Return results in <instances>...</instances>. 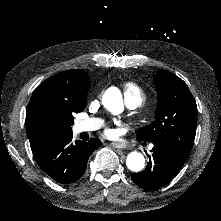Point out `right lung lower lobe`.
I'll return each mask as SVG.
<instances>
[{
  "mask_svg": "<svg viewBox=\"0 0 221 221\" xmlns=\"http://www.w3.org/2000/svg\"><path fill=\"white\" fill-rule=\"evenodd\" d=\"M72 136L33 151L39 166L61 184L76 182L86 170L90 155L102 143L91 138L89 142H72Z\"/></svg>",
  "mask_w": 221,
  "mask_h": 221,
  "instance_id": "obj_1",
  "label": "right lung lower lobe"
}]
</instances>
